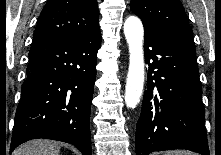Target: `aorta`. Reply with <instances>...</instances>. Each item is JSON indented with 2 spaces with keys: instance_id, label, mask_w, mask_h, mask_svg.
<instances>
[{
  "instance_id": "762f6f07",
  "label": "aorta",
  "mask_w": 221,
  "mask_h": 155,
  "mask_svg": "<svg viewBox=\"0 0 221 155\" xmlns=\"http://www.w3.org/2000/svg\"><path fill=\"white\" fill-rule=\"evenodd\" d=\"M124 34L129 46V69L125 88V103L129 108H135L142 95L144 83V29L138 17L130 16L124 23Z\"/></svg>"
}]
</instances>
